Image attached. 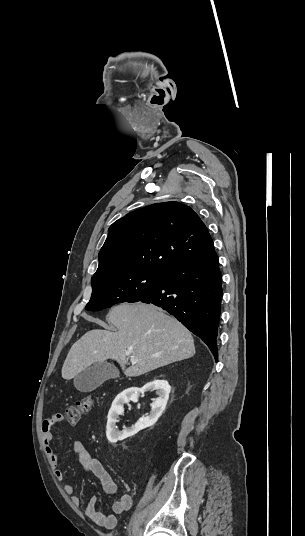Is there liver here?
Masks as SVG:
<instances>
[{
    "label": "liver",
    "instance_id": "liver-1",
    "mask_svg": "<svg viewBox=\"0 0 305 536\" xmlns=\"http://www.w3.org/2000/svg\"><path fill=\"white\" fill-rule=\"evenodd\" d=\"M118 332L91 330L73 344L62 368V378L72 380L95 364L116 360L125 376H142L146 372L192 358L194 340L185 326L152 304H120L106 316ZM103 326L101 320H94ZM139 360L126 368L129 358Z\"/></svg>",
    "mask_w": 305,
    "mask_h": 536
}]
</instances>
